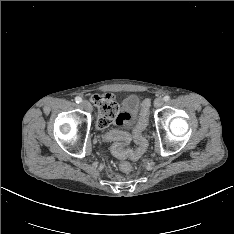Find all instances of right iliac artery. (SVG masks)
I'll list each match as a JSON object with an SVG mask.
<instances>
[{"label":"right iliac artery","instance_id":"right-iliac-artery-1","mask_svg":"<svg viewBox=\"0 0 234 234\" xmlns=\"http://www.w3.org/2000/svg\"><path fill=\"white\" fill-rule=\"evenodd\" d=\"M75 102L76 103H81L82 102V98L81 97H76L75 98Z\"/></svg>","mask_w":234,"mask_h":234}]
</instances>
